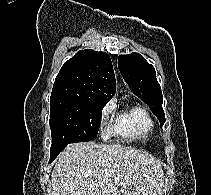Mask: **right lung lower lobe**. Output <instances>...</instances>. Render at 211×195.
<instances>
[{
	"label": "right lung lower lobe",
	"instance_id": "98d812e1",
	"mask_svg": "<svg viewBox=\"0 0 211 195\" xmlns=\"http://www.w3.org/2000/svg\"><path fill=\"white\" fill-rule=\"evenodd\" d=\"M64 148H65V147H64ZM64 148H62V149H60V150H57V151H55V152H52V153H51V158H50L49 163L52 162Z\"/></svg>",
	"mask_w": 211,
	"mask_h": 195
}]
</instances>
